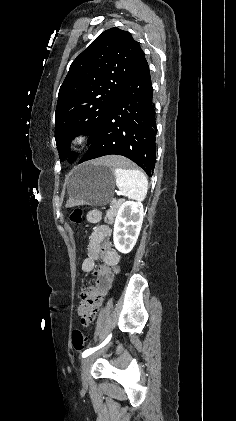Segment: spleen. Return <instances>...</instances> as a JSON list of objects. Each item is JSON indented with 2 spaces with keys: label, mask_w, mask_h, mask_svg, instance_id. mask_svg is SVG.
Masks as SVG:
<instances>
[{
  "label": "spleen",
  "mask_w": 236,
  "mask_h": 421,
  "mask_svg": "<svg viewBox=\"0 0 236 421\" xmlns=\"http://www.w3.org/2000/svg\"><path fill=\"white\" fill-rule=\"evenodd\" d=\"M116 184L124 196L133 200H144L147 194L148 180L142 170L138 168H122V164L115 162Z\"/></svg>",
  "instance_id": "obj_1"
}]
</instances>
